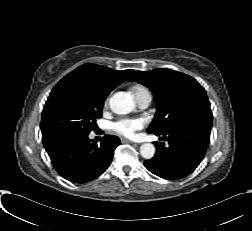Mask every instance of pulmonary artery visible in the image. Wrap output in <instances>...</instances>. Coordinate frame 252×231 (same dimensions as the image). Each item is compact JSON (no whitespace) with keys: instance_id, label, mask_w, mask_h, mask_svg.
I'll return each instance as SVG.
<instances>
[{"instance_id":"1","label":"pulmonary artery","mask_w":252,"mask_h":231,"mask_svg":"<svg viewBox=\"0 0 252 231\" xmlns=\"http://www.w3.org/2000/svg\"><path fill=\"white\" fill-rule=\"evenodd\" d=\"M135 99L139 107L146 108L150 104L152 97L150 92H145L137 95Z\"/></svg>"}]
</instances>
